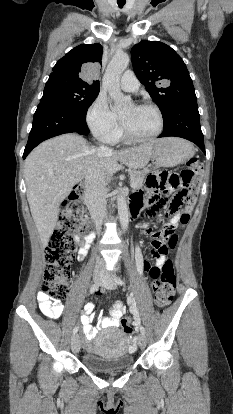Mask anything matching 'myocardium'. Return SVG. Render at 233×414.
Segmentation results:
<instances>
[{
  "mask_svg": "<svg viewBox=\"0 0 233 414\" xmlns=\"http://www.w3.org/2000/svg\"><path fill=\"white\" fill-rule=\"evenodd\" d=\"M138 107H143V108H150L153 109L156 114L158 115V119H159V127L157 129V131L149 136H138L136 134H134L133 132H131L129 130V128L126 126V124L124 123V121L122 120V118L120 117V128L121 131L123 133V135L128 138L131 141H135V142H146V141H151L155 138H157L164 129V125H165V120H164V115L161 111V109L154 103H150V102H142L137 104Z\"/></svg>",
  "mask_w": 233,
  "mask_h": 414,
  "instance_id": "f54148a6",
  "label": "myocardium"
}]
</instances>
